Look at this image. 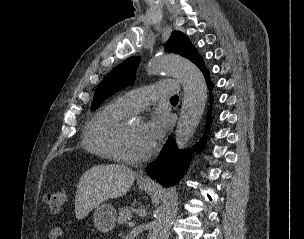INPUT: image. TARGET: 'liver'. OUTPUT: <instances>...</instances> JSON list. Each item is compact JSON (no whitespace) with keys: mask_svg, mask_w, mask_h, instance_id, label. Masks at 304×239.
Listing matches in <instances>:
<instances>
[{"mask_svg":"<svg viewBox=\"0 0 304 239\" xmlns=\"http://www.w3.org/2000/svg\"><path fill=\"white\" fill-rule=\"evenodd\" d=\"M135 178L136 173L124 165H98L87 170L77 186L76 218L82 220L104 201L125 195Z\"/></svg>","mask_w":304,"mask_h":239,"instance_id":"liver-1","label":"liver"}]
</instances>
